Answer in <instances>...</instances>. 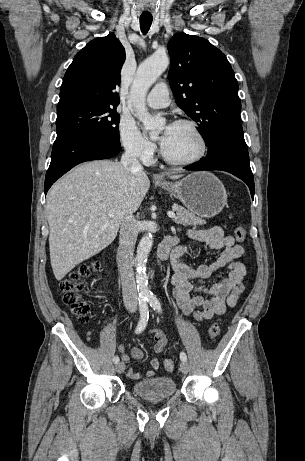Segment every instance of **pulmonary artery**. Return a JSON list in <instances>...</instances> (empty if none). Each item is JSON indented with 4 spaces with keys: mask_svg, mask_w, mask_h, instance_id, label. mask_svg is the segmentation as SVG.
<instances>
[{
    "mask_svg": "<svg viewBox=\"0 0 305 461\" xmlns=\"http://www.w3.org/2000/svg\"><path fill=\"white\" fill-rule=\"evenodd\" d=\"M147 104L152 108H164L169 105V91L166 83L156 84L147 96Z\"/></svg>",
    "mask_w": 305,
    "mask_h": 461,
    "instance_id": "e3ab8cb5",
    "label": "pulmonary artery"
}]
</instances>
